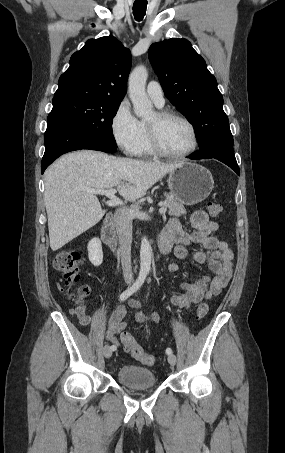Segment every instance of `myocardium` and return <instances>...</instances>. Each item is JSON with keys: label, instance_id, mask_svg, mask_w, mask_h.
I'll use <instances>...</instances> for the list:
<instances>
[{"label": "myocardium", "instance_id": "1", "mask_svg": "<svg viewBox=\"0 0 285 453\" xmlns=\"http://www.w3.org/2000/svg\"><path fill=\"white\" fill-rule=\"evenodd\" d=\"M157 118L159 122H162L164 120H167L169 118H177L181 121H183L190 129L191 134H192V145L190 146L189 149H187L184 152L181 153H173L164 148L162 145L160 135H159V130H158V125H152L146 123V128H147V133H148V138H149V143L152 148V150L163 157L167 158H173V159H181L189 156L192 154L197 146H198V134L197 130L194 126V124L183 114L173 111V110H159L156 112Z\"/></svg>", "mask_w": 285, "mask_h": 453}]
</instances>
